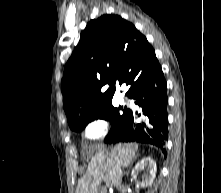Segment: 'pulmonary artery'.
<instances>
[{"label": "pulmonary artery", "instance_id": "pulmonary-artery-1", "mask_svg": "<svg viewBox=\"0 0 221 193\" xmlns=\"http://www.w3.org/2000/svg\"><path fill=\"white\" fill-rule=\"evenodd\" d=\"M120 99H121L122 101H124V100H126V97H125L124 95H121V96H120Z\"/></svg>", "mask_w": 221, "mask_h": 193}]
</instances>
